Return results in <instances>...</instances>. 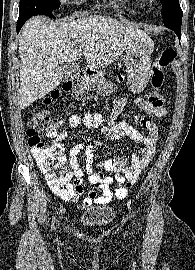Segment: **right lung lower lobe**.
I'll use <instances>...</instances> for the list:
<instances>
[{"mask_svg":"<svg viewBox=\"0 0 195 270\" xmlns=\"http://www.w3.org/2000/svg\"><path fill=\"white\" fill-rule=\"evenodd\" d=\"M35 15H38V14L33 12V11H20L19 18L17 21V32L20 31L21 27L26 22V20H28L29 18H31L32 16H35Z\"/></svg>","mask_w":195,"mask_h":270,"instance_id":"1","label":"right lung lower lobe"}]
</instances>
